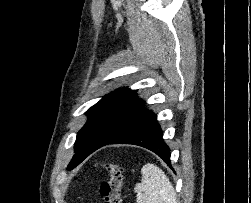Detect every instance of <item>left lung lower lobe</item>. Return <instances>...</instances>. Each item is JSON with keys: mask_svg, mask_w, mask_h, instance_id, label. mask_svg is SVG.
Listing matches in <instances>:
<instances>
[{"mask_svg": "<svg viewBox=\"0 0 251 203\" xmlns=\"http://www.w3.org/2000/svg\"><path fill=\"white\" fill-rule=\"evenodd\" d=\"M162 136L163 133L158 124L156 114L151 110H147L122 131L108 140L104 145L132 144L147 148L156 153L171 169H173L170 161V150L163 141Z\"/></svg>", "mask_w": 251, "mask_h": 203, "instance_id": "left-lung-lower-lobe-1", "label": "left lung lower lobe"}]
</instances>
